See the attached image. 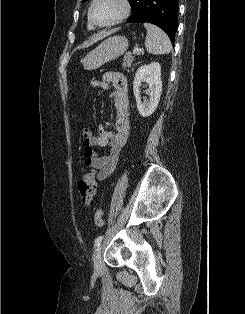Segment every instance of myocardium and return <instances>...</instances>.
Returning <instances> with one entry per match:
<instances>
[{"mask_svg": "<svg viewBox=\"0 0 245 314\" xmlns=\"http://www.w3.org/2000/svg\"><path fill=\"white\" fill-rule=\"evenodd\" d=\"M97 2H98V0H92L90 7L88 9V20L93 27H97V28L112 27V26L122 22L124 19H126L131 12V4H130L129 0H118L119 4L121 6V10H120V13L118 14V16L110 22L100 24V23H97L93 19V15H92L93 8Z\"/></svg>", "mask_w": 245, "mask_h": 314, "instance_id": "1", "label": "myocardium"}]
</instances>
